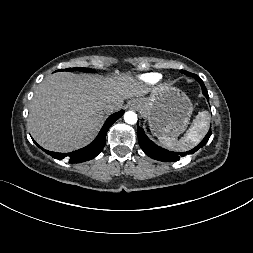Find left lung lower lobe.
Returning <instances> with one entry per match:
<instances>
[{
  "instance_id": "obj_1",
  "label": "left lung lower lobe",
  "mask_w": 253,
  "mask_h": 253,
  "mask_svg": "<svg viewBox=\"0 0 253 253\" xmlns=\"http://www.w3.org/2000/svg\"><path fill=\"white\" fill-rule=\"evenodd\" d=\"M187 75L194 77L201 85L202 87V93L203 95L209 100V95L206 90V87L201 80V78L195 74H192L190 72L187 73ZM137 133H138V141L141 149L151 158L159 161H165V162H174L178 161L182 156H185L187 154H193L195 153L199 148L203 147L207 141L209 140L211 136V130L207 133L205 138L200 142L198 146H196L194 149L184 152V153H177L168 151L166 149H163L156 144H154L146 135L142 128L137 126Z\"/></svg>"
}]
</instances>
